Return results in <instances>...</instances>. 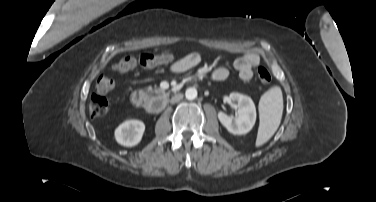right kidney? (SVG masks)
<instances>
[{
    "label": "right kidney",
    "instance_id": "obj_1",
    "mask_svg": "<svg viewBox=\"0 0 376 202\" xmlns=\"http://www.w3.org/2000/svg\"><path fill=\"white\" fill-rule=\"evenodd\" d=\"M145 125L139 120H127L115 129V139L123 146L137 145L143 136Z\"/></svg>",
    "mask_w": 376,
    "mask_h": 202
}]
</instances>
